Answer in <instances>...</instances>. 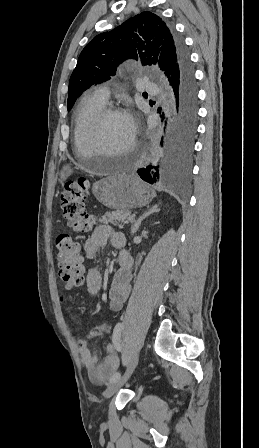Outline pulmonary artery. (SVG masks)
Here are the masks:
<instances>
[{
  "mask_svg": "<svg viewBox=\"0 0 259 448\" xmlns=\"http://www.w3.org/2000/svg\"><path fill=\"white\" fill-rule=\"evenodd\" d=\"M97 98L103 102H107L110 98V89L106 85H99L94 89Z\"/></svg>",
  "mask_w": 259,
  "mask_h": 448,
  "instance_id": "pulmonary-artery-1",
  "label": "pulmonary artery"
}]
</instances>
